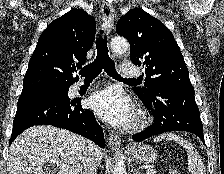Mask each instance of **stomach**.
Segmentation results:
<instances>
[{"label":"stomach","instance_id":"1","mask_svg":"<svg viewBox=\"0 0 224 174\" xmlns=\"http://www.w3.org/2000/svg\"><path fill=\"white\" fill-rule=\"evenodd\" d=\"M157 157V151L149 145L139 146L138 148L132 151V158L136 162L140 163H152L157 159Z\"/></svg>","mask_w":224,"mask_h":174}]
</instances>
